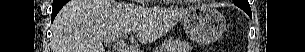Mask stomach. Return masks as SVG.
Here are the masks:
<instances>
[{"mask_svg": "<svg viewBox=\"0 0 305 52\" xmlns=\"http://www.w3.org/2000/svg\"><path fill=\"white\" fill-rule=\"evenodd\" d=\"M224 16L210 6L193 7L183 20L186 35L195 42L208 44L220 38L225 27Z\"/></svg>", "mask_w": 305, "mask_h": 52, "instance_id": "1", "label": "stomach"}]
</instances>
